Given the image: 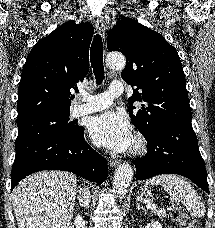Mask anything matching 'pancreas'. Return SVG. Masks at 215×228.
<instances>
[{"instance_id": "1", "label": "pancreas", "mask_w": 215, "mask_h": 228, "mask_svg": "<svg viewBox=\"0 0 215 228\" xmlns=\"http://www.w3.org/2000/svg\"><path fill=\"white\" fill-rule=\"evenodd\" d=\"M152 214H155V216H159V218H166L167 216L163 208H155V210H152Z\"/></svg>"}]
</instances>
